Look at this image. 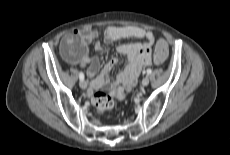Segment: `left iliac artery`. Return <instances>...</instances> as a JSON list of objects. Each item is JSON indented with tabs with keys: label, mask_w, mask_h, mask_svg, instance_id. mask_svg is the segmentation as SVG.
Wrapping results in <instances>:
<instances>
[{
	"label": "left iliac artery",
	"mask_w": 230,
	"mask_h": 155,
	"mask_svg": "<svg viewBox=\"0 0 230 155\" xmlns=\"http://www.w3.org/2000/svg\"><path fill=\"white\" fill-rule=\"evenodd\" d=\"M151 72H152L151 69H147L146 71L147 74H151Z\"/></svg>",
	"instance_id": "left-iliac-artery-1"
}]
</instances>
